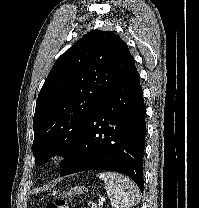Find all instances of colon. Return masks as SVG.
Segmentation results:
<instances>
[{
	"instance_id": "colon-1",
	"label": "colon",
	"mask_w": 199,
	"mask_h": 208,
	"mask_svg": "<svg viewBox=\"0 0 199 208\" xmlns=\"http://www.w3.org/2000/svg\"><path fill=\"white\" fill-rule=\"evenodd\" d=\"M46 208H71V207L67 201L58 199L54 202L47 204Z\"/></svg>"
}]
</instances>
